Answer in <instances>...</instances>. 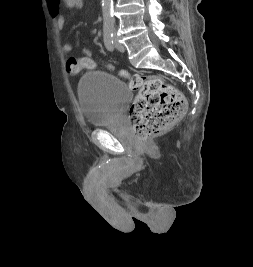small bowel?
<instances>
[{
    "instance_id": "c3829d8e",
    "label": "small bowel",
    "mask_w": 253,
    "mask_h": 267,
    "mask_svg": "<svg viewBox=\"0 0 253 267\" xmlns=\"http://www.w3.org/2000/svg\"><path fill=\"white\" fill-rule=\"evenodd\" d=\"M49 12L55 18L59 32H62L65 27V17L61 11V4L67 9H81L84 5V0H46ZM62 50L65 53H70L73 46L69 42L62 45Z\"/></svg>"
}]
</instances>
